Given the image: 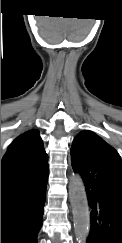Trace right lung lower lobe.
I'll return each instance as SVG.
<instances>
[{"instance_id":"right-lung-lower-lobe-1","label":"right lung lower lobe","mask_w":122,"mask_h":243,"mask_svg":"<svg viewBox=\"0 0 122 243\" xmlns=\"http://www.w3.org/2000/svg\"><path fill=\"white\" fill-rule=\"evenodd\" d=\"M49 170L1 187V243H37Z\"/></svg>"}]
</instances>
